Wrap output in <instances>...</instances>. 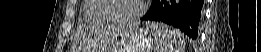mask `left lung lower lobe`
Here are the masks:
<instances>
[{
	"instance_id": "left-lung-lower-lobe-1",
	"label": "left lung lower lobe",
	"mask_w": 261,
	"mask_h": 52,
	"mask_svg": "<svg viewBox=\"0 0 261 52\" xmlns=\"http://www.w3.org/2000/svg\"><path fill=\"white\" fill-rule=\"evenodd\" d=\"M204 0H153L141 20L172 25L192 39H197L203 17Z\"/></svg>"
}]
</instances>
